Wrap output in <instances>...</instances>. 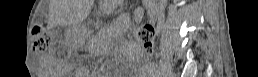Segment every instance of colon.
<instances>
[{"label": "colon", "mask_w": 258, "mask_h": 77, "mask_svg": "<svg viewBox=\"0 0 258 77\" xmlns=\"http://www.w3.org/2000/svg\"><path fill=\"white\" fill-rule=\"evenodd\" d=\"M154 28L150 24L138 27L134 32L135 41L145 50L151 51L154 42ZM51 41V34L42 23L34 26V46L38 51H43Z\"/></svg>", "instance_id": "5ec220e1"}]
</instances>
